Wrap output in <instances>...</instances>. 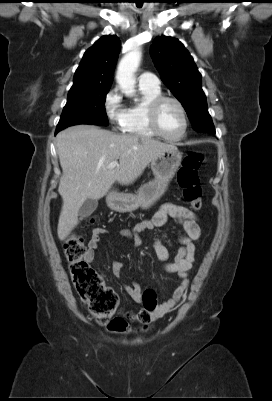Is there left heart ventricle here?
Here are the masks:
<instances>
[{"instance_id": "b2bd125f", "label": "left heart ventricle", "mask_w": 272, "mask_h": 401, "mask_svg": "<svg viewBox=\"0 0 272 401\" xmlns=\"http://www.w3.org/2000/svg\"><path fill=\"white\" fill-rule=\"evenodd\" d=\"M159 124L162 131L170 137H177L183 132V116L175 103L167 102L163 105L159 114Z\"/></svg>"}]
</instances>
